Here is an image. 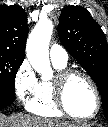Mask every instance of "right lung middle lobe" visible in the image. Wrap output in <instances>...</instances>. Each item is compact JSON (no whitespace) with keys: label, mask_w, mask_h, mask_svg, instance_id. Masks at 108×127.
<instances>
[{"label":"right lung middle lobe","mask_w":108,"mask_h":127,"mask_svg":"<svg viewBox=\"0 0 108 127\" xmlns=\"http://www.w3.org/2000/svg\"><path fill=\"white\" fill-rule=\"evenodd\" d=\"M24 58L0 53V91L14 94L16 73Z\"/></svg>","instance_id":"dd1d6c3e"}]
</instances>
